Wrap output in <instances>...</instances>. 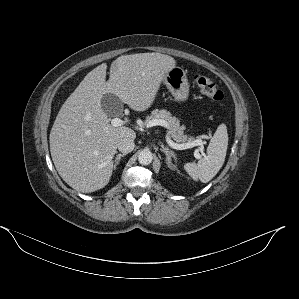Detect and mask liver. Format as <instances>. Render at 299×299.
Here are the masks:
<instances>
[{
    "mask_svg": "<svg viewBox=\"0 0 299 299\" xmlns=\"http://www.w3.org/2000/svg\"><path fill=\"white\" fill-rule=\"evenodd\" d=\"M176 61L161 53L119 56L90 71L62 105L50 132V152L61 178L73 189L91 193L105 187L113 172L118 141L133 140L136 133L126 126L109 124L103 111V95H116L134 111L151 107L166 73Z\"/></svg>",
    "mask_w": 299,
    "mask_h": 299,
    "instance_id": "obj_1",
    "label": "liver"
}]
</instances>
